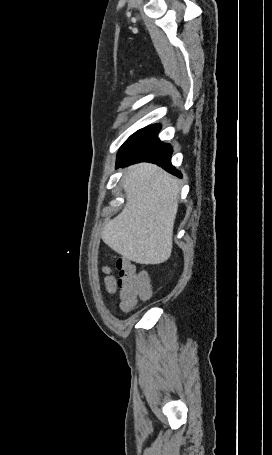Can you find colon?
<instances>
[{"label": "colon", "mask_w": 272, "mask_h": 455, "mask_svg": "<svg viewBox=\"0 0 272 455\" xmlns=\"http://www.w3.org/2000/svg\"><path fill=\"white\" fill-rule=\"evenodd\" d=\"M116 267L119 272L117 279L109 275V268H105L108 273L105 279V287L109 292H114L117 288L120 289L122 310L128 311L140 301H145L151 297L149 279L144 271L123 259L117 260Z\"/></svg>", "instance_id": "obj_1"}]
</instances>
